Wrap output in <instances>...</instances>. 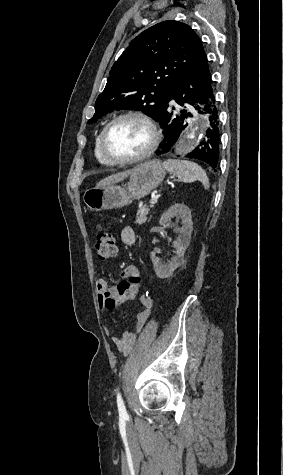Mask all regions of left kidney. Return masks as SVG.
<instances>
[{"instance_id":"obj_1","label":"left kidney","mask_w":283,"mask_h":475,"mask_svg":"<svg viewBox=\"0 0 283 475\" xmlns=\"http://www.w3.org/2000/svg\"><path fill=\"white\" fill-rule=\"evenodd\" d=\"M171 218L182 220L181 224H183L180 230V236H178L176 241H173L176 255H173V257H171V261H168V263H161V261H159V257L156 255V251H151L150 253L156 275H158V277H162V279H165V277H170L174 269L181 265L185 249H187L191 241V234L193 230L191 210H189L188 206H183V204H174V206H171V208H169V210L164 212L163 216H161L159 222L160 226L170 224Z\"/></svg>"}]
</instances>
